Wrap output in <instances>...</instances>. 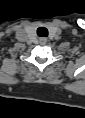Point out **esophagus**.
I'll use <instances>...</instances> for the list:
<instances>
[{"label": "esophagus", "mask_w": 85, "mask_h": 118, "mask_svg": "<svg viewBox=\"0 0 85 118\" xmlns=\"http://www.w3.org/2000/svg\"><path fill=\"white\" fill-rule=\"evenodd\" d=\"M39 42H40V44L44 45V44H46L47 39L46 38H40Z\"/></svg>", "instance_id": "esophagus-1"}]
</instances>
